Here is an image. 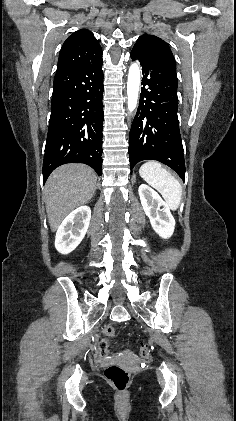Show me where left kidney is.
I'll use <instances>...</instances> for the list:
<instances>
[{
	"instance_id": "left-kidney-1",
	"label": "left kidney",
	"mask_w": 236,
	"mask_h": 421,
	"mask_svg": "<svg viewBox=\"0 0 236 421\" xmlns=\"http://www.w3.org/2000/svg\"><path fill=\"white\" fill-rule=\"evenodd\" d=\"M139 196L143 211L150 219V225L162 239H169L174 233L175 221L167 202L148 184H140ZM163 206V208H161Z\"/></svg>"
}]
</instances>
